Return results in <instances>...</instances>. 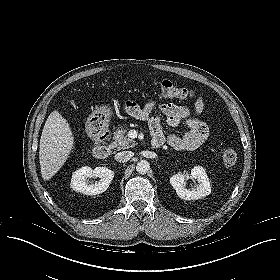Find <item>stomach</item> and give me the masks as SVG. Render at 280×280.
<instances>
[{"label":"stomach","instance_id":"stomach-1","mask_svg":"<svg viewBox=\"0 0 280 280\" xmlns=\"http://www.w3.org/2000/svg\"><path fill=\"white\" fill-rule=\"evenodd\" d=\"M111 109L107 106L100 107L95 110L88 119V127L95 126L97 124L105 123L109 119Z\"/></svg>","mask_w":280,"mask_h":280}]
</instances>
